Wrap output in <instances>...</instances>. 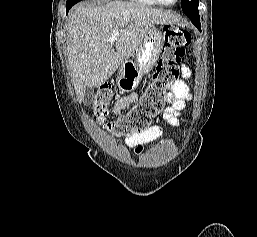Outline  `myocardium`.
<instances>
[{
	"label": "myocardium",
	"instance_id": "myocardium-1",
	"mask_svg": "<svg viewBox=\"0 0 257 237\" xmlns=\"http://www.w3.org/2000/svg\"><path fill=\"white\" fill-rule=\"evenodd\" d=\"M155 1L157 2V4H160V5H163V6H167V7L174 6V5H176L179 2V0H175L172 3H166L163 0H155Z\"/></svg>",
	"mask_w": 257,
	"mask_h": 237
}]
</instances>
